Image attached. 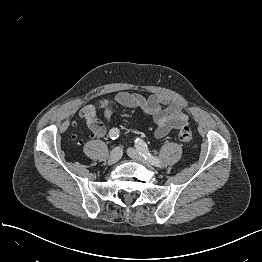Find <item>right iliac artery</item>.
Listing matches in <instances>:
<instances>
[{
    "label": "right iliac artery",
    "instance_id": "82829eb1",
    "mask_svg": "<svg viewBox=\"0 0 262 262\" xmlns=\"http://www.w3.org/2000/svg\"><path fill=\"white\" fill-rule=\"evenodd\" d=\"M109 136L112 140H115L117 137H119V130L117 128H112L109 131Z\"/></svg>",
    "mask_w": 262,
    "mask_h": 262
}]
</instances>
